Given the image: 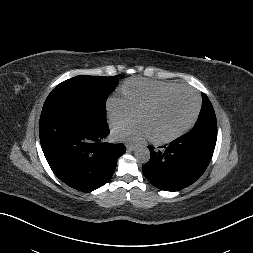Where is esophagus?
Segmentation results:
<instances>
[{
    "mask_svg": "<svg viewBox=\"0 0 253 253\" xmlns=\"http://www.w3.org/2000/svg\"><path fill=\"white\" fill-rule=\"evenodd\" d=\"M128 151H133L136 147L134 145H126Z\"/></svg>",
    "mask_w": 253,
    "mask_h": 253,
    "instance_id": "obj_1",
    "label": "esophagus"
}]
</instances>
